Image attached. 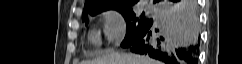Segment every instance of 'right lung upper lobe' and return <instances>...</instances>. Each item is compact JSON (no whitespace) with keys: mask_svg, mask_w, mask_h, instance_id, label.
Returning a JSON list of instances; mask_svg holds the SVG:
<instances>
[{"mask_svg":"<svg viewBox=\"0 0 242 64\" xmlns=\"http://www.w3.org/2000/svg\"><path fill=\"white\" fill-rule=\"evenodd\" d=\"M138 0H86L82 15L93 14L105 10H121L131 8ZM156 0H154L155 2ZM131 4V5H130Z\"/></svg>","mask_w":242,"mask_h":64,"instance_id":"obj_1","label":"right lung upper lobe"}]
</instances>
